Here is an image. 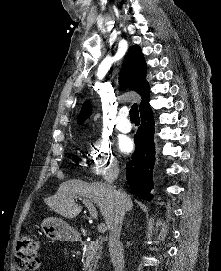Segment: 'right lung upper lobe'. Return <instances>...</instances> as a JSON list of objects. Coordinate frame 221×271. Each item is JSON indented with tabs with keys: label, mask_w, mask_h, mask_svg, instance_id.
<instances>
[{
	"label": "right lung upper lobe",
	"mask_w": 221,
	"mask_h": 271,
	"mask_svg": "<svg viewBox=\"0 0 221 271\" xmlns=\"http://www.w3.org/2000/svg\"><path fill=\"white\" fill-rule=\"evenodd\" d=\"M147 65L144 55L138 45L131 46L124 59V64L120 75V85L122 89L129 87L136 91L141 97L140 113L150 108L149 84L146 81ZM89 102L83 105V111L78 117V122L84 121L85 117L90 113Z\"/></svg>",
	"instance_id": "1"
}]
</instances>
